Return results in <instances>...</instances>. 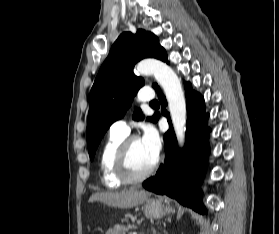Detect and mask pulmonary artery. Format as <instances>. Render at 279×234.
Wrapping results in <instances>:
<instances>
[{
  "instance_id": "1",
  "label": "pulmonary artery",
  "mask_w": 279,
  "mask_h": 234,
  "mask_svg": "<svg viewBox=\"0 0 279 234\" xmlns=\"http://www.w3.org/2000/svg\"><path fill=\"white\" fill-rule=\"evenodd\" d=\"M154 98L152 89H142L137 97L140 102H149ZM111 132L126 135L129 132V127L127 125L126 119L122 118L116 120L110 127Z\"/></svg>"
}]
</instances>
